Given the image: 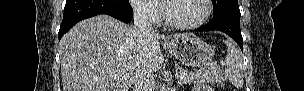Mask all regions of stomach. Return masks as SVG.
Instances as JSON below:
<instances>
[{
  "label": "stomach",
  "mask_w": 304,
  "mask_h": 91,
  "mask_svg": "<svg viewBox=\"0 0 304 91\" xmlns=\"http://www.w3.org/2000/svg\"><path fill=\"white\" fill-rule=\"evenodd\" d=\"M167 49L177 60L193 67L207 65L215 53L211 46L190 35L172 40Z\"/></svg>",
  "instance_id": "0dacf381"
}]
</instances>
